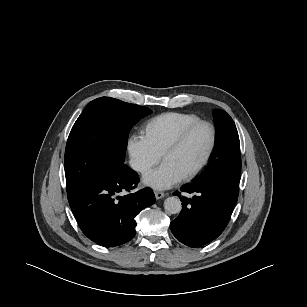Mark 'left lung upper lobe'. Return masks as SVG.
I'll return each instance as SVG.
<instances>
[{
  "instance_id": "obj_1",
  "label": "left lung upper lobe",
  "mask_w": 307,
  "mask_h": 307,
  "mask_svg": "<svg viewBox=\"0 0 307 307\" xmlns=\"http://www.w3.org/2000/svg\"><path fill=\"white\" fill-rule=\"evenodd\" d=\"M217 127L215 150L205 171L195 182L217 181L238 194L241 177L240 142L232 118L223 110L214 111Z\"/></svg>"
}]
</instances>
